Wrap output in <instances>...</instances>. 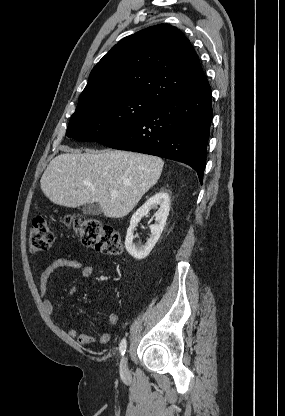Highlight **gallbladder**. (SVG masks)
<instances>
[{
  "label": "gallbladder",
  "mask_w": 285,
  "mask_h": 416,
  "mask_svg": "<svg viewBox=\"0 0 285 416\" xmlns=\"http://www.w3.org/2000/svg\"><path fill=\"white\" fill-rule=\"evenodd\" d=\"M82 212L83 214H89V216H100V214H103L99 204H84Z\"/></svg>",
  "instance_id": "bac80fb5"
}]
</instances>
